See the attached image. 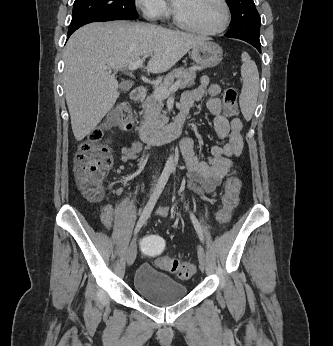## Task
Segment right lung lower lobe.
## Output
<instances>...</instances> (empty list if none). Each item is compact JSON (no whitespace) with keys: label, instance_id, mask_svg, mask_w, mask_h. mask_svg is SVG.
<instances>
[{"label":"right lung lower lobe","instance_id":"1","mask_svg":"<svg viewBox=\"0 0 333 346\" xmlns=\"http://www.w3.org/2000/svg\"><path fill=\"white\" fill-rule=\"evenodd\" d=\"M74 31H75V30H74ZM74 31H69V32H68L67 39L70 37V35H71Z\"/></svg>","mask_w":333,"mask_h":346}]
</instances>
